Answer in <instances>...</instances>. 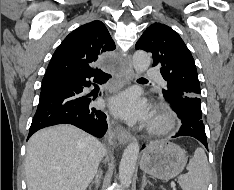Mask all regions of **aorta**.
Segmentation results:
<instances>
[{
  "label": "aorta",
  "mask_w": 234,
  "mask_h": 190,
  "mask_svg": "<svg viewBox=\"0 0 234 190\" xmlns=\"http://www.w3.org/2000/svg\"><path fill=\"white\" fill-rule=\"evenodd\" d=\"M151 62L150 55L138 50L133 55V66L137 73L145 72ZM140 146L137 141H132L124 150L119 165V180L121 185L128 187L131 184Z\"/></svg>",
  "instance_id": "aorta-1"
}]
</instances>
